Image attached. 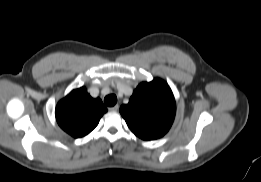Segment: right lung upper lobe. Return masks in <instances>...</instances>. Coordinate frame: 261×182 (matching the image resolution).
I'll list each match as a JSON object with an SVG mask.
<instances>
[{
  "mask_svg": "<svg viewBox=\"0 0 261 182\" xmlns=\"http://www.w3.org/2000/svg\"><path fill=\"white\" fill-rule=\"evenodd\" d=\"M107 112L101 99L92 98L84 87L71 91L56 106L59 126L74 138L89 134Z\"/></svg>",
  "mask_w": 261,
  "mask_h": 182,
  "instance_id": "1",
  "label": "right lung upper lobe"
}]
</instances>
